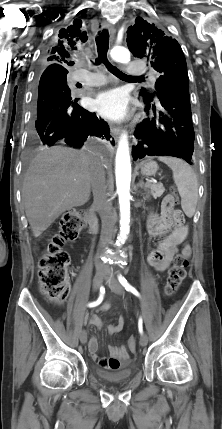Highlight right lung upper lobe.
<instances>
[{
  "mask_svg": "<svg viewBox=\"0 0 222 429\" xmlns=\"http://www.w3.org/2000/svg\"><path fill=\"white\" fill-rule=\"evenodd\" d=\"M80 25H73L59 32V39L45 50V69L55 72L57 75L67 74L66 64L77 53L82 42L87 41L85 32H81Z\"/></svg>",
  "mask_w": 222,
  "mask_h": 429,
  "instance_id": "obj_1",
  "label": "right lung upper lobe"
}]
</instances>
